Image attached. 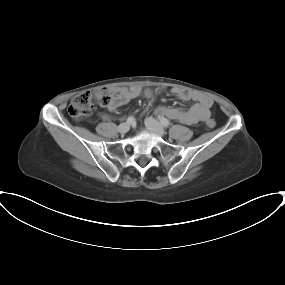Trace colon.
I'll use <instances>...</instances> for the list:
<instances>
[{"label":"colon","instance_id":"obj_1","mask_svg":"<svg viewBox=\"0 0 285 285\" xmlns=\"http://www.w3.org/2000/svg\"><path fill=\"white\" fill-rule=\"evenodd\" d=\"M112 98L113 95L107 90L81 93L72 99L68 108L69 115L74 120H81L89 116L96 106H107ZM205 123L209 128L216 126V121L212 118L207 119Z\"/></svg>","mask_w":285,"mask_h":285}]
</instances>
